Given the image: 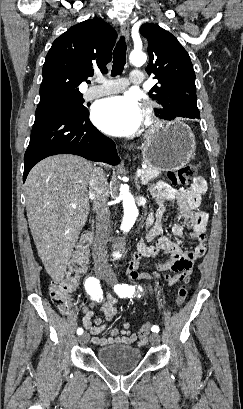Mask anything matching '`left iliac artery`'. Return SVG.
<instances>
[{"label":"left iliac artery","mask_w":243,"mask_h":409,"mask_svg":"<svg viewBox=\"0 0 243 409\" xmlns=\"http://www.w3.org/2000/svg\"><path fill=\"white\" fill-rule=\"evenodd\" d=\"M114 290L120 297H132L136 291L134 286L128 284H117L114 286ZM151 330L154 333H158L159 327L155 325Z\"/></svg>","instance_id":"obj_1"}]
</instances>
